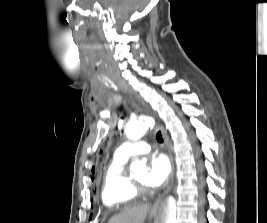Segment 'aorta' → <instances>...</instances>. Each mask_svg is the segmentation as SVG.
<instances>
[{
  "label": "aorta",
  "mask_w": 267,
  "mask_h": 223,
  "mask_svg": "<svg viewBox=\"0 0 267 223\" xmlns=\"http://www.w3.org/2000/svg\"><path fill=\"white\" fill-rule=\"evenodd\" d=\"M153 126L150 119L138 120L129 122L126 125L125 133L131 140H138L145 135L147 130ZM130 170L133 174L146 172L147 167L144 161H135L131 164ZM176 221V199L173 196H168L162 200L156 223H175Z\"/></svg>",
  "instance_id": "obj_1"
}]
</instances>
